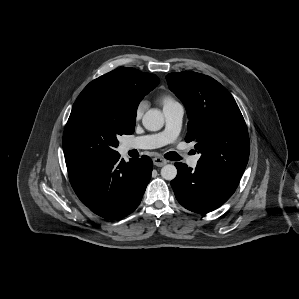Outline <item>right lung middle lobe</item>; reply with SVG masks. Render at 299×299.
Listing matches in <instances>:
<instances>
[{"label":"right lung middle lobe","instance_id":"obj_1","mask_svg":"<svg viewBox=\"0 0 299 299\" xmlns=\"http://www.w3.org/2000/svg\"><path fill=\"white\" fill-rule=\"evenodd\" d=\"M135 112L120 95L86 86L76 99L63 133L65 158L103 159L116 155L119 135L134 132Z\"/></svg>","mask_w":299,"mask_h":299}]
</instances>
